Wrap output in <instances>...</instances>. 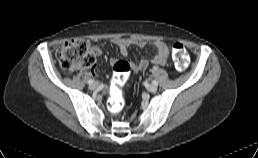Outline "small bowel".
<instances>
[{"instance_id": "small-bowel-1", "label": "small bowel", "mask_w": 258, "mask_h": 158, "mask_svg": "<svg viewBox=\"0 0 258 158\" xmlns=\"http://www.w3.org/2000/svg\"><path fill=\"white\" fill-rule=\"evenodd\" d=\"M112 43L116 45L123 57L128 56V48L130 46H136L139 48L149 47L155 54L151 59V63L156 65H165L169 57V47L168 45L160 40L155 41H145L141 39H130V38H115L112 40ZM91 51L95 56H100L102 54V48L100 45H94L91 48ZM117 62L116 59H112L111 63ZM150 61L148 59H141L138 63L130 62L131 70L133 72H140L147 69Z\"/></svg>"}]
</instances>
